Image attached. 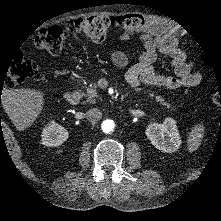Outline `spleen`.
<instances>
[{
  "instance_id": "spleen-1",
  "label": "spleen",
  "mask_w": 221,
  "mask_h": 221,
  "mask_svg": "<svg viewBox=\"0 0 221 221\" xmlns=\"http://www.w3.org/2000/svg\"><path fill=\"white\" fill-rule=\"evenodd\" d=\"M204 136V126L203 125H196L189 133L187 139V147L190 153L194 152L199 148L201 145L202 139Z\"/></svg>"
}]
</instances>
